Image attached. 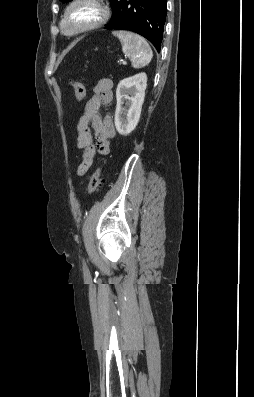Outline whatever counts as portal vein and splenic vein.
Here are the masks:
<instances>
[{
	"mask_svg": "<svg viewBox=\"0 0 254 397\" xmlns=\"http://www.w3.org/2000/svg\"><path fill=\"white\" fill-rule=\"evenodd\" d=\"M120 63H121V64H126L127 62L124 61V60H121Z\"/></svg>",
	"mask_w": 254,
	"mask_h": 397,
	"instance_id": "obj_1",
	"label": "portal vein and splenic vein"
}]
</instances>
